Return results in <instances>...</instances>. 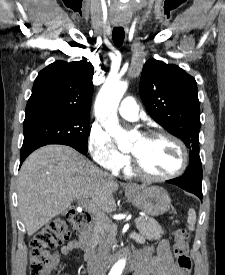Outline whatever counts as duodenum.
Instances as JSON below:
<instances>
[{
  "label": "duodenum",
  "instance_id": "410a0bca",
  "mask_svg": "<svg viewBox=\"0 0 225 275\" xmlns=\"http://www.w3.org/2000/svg\"><path fill=\"white\" fill-rule=\"evenodd\" d=\"M92 233H93V226H92V218L90 216V218L87 221H85L82 227L80 228L79 243H80L83 259L86 263V267L88 268L89 271L96 272L100 266V259L95 255L93 251V247L91 243ZM138 264L139 263L137 261V263L133 264L131 268H134Z\"/></svg>",
  "mask_w": 225,
  "mask_h": 275
}]
</instances>
